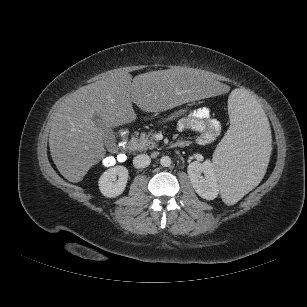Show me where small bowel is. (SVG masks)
Returning a JSON list of instances; mask_svg holds the SVG:
<instances>
[{"instance_id":"c3829d8e","label":"small bowel","mask_w":307,"mask_h":307,"mask_svg":"<svg viewBox=\"0 0 307 307\" xmlns=\"http://www.w3.org/2000/svg\"><path fill=\"white\" fill-rule=\"evenodd\" d=\"M177 129L181 132L193 131L200 133L197 142L205 145L218 137L221 131V124L217 119L211 117L208 108L201 107L181 118L177 122Z\"/></svg>"}]
</instances>
